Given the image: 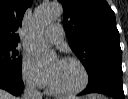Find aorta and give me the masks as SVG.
Wrapping results in <instances>:
<instances>
[{
  "mask_svg": "<svg viewBox=\"0 0 128 99\" xmlns=\"http://www.w3.org/2000/svg\"><path fill=\"white\" fill-rule=\"evenodd\" d=\"M62 14V7L58 2H52L48 5L39 7L35 12V24L37 27L47 25L56 20ZM32 51L37 62L41 66H47L57 59L55 51L49 49L41 41L34 40L31 45Z\"/></svg>",
  "mask_w": 128,
  "mask_h": 99,
  "instance_id": "1",
  "label": "aorta"
}]
</instances>
